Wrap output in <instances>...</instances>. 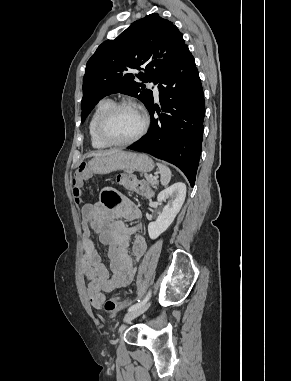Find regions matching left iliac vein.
<instances>
[{
	"mask_svg": "<svg viewBox=\"0 0 291 381\" xmlns=\"http://www.w3.org/2000/svg\"><path fill=\"white\" fill-rule=\"evenodd\" d=\"M150 306V302H145L144 304H142L140 307H138L137 309L135 310H132L130 312H128L125 316H124V319L123 321L125 323L127 322H130L131 320H133L134 318L138 317L139 315L143 314Z\"/></svg>",
	"mask_w": 291,
	"mask_h": 381,
	"instance_id": "left-iliac-vein-1",
	"label": "left iliac vein"
}]
</instances>
